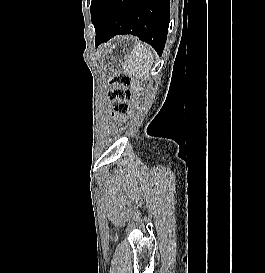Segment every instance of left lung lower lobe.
<instances>
[{
	"label": "left lung lower lobe",
	"mask_w": 265,
	"mask_h": 273,
	"mask_svg": "<svg viewBox=\"0 0 265 273\" xmlns=\"http://www.w3.org/2000/svg\"><path fill=\"white\" fill-rule=\"evenodd\" d=\"M105 17L95 27L96 46L117 34H132L162 54L169 26L170 0H92Z\"/></svg>",
	"instance_id": "1"
}]
</instances>
